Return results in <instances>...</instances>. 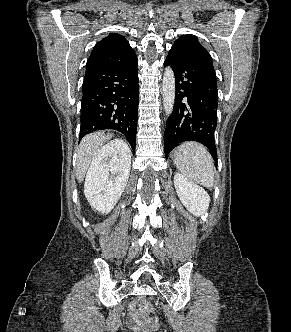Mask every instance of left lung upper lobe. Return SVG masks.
Segmentation results:
<instances>
[{
  "label": "left lung upper lobe",
  "instance_id": "obj_1",
  "mask_svg": "<svg viewBox=\"0 0 291 332\" xmlns=\"http://www.w3.org/2000/svg\"><path fill=\"white\" fill-rule=\"evenodd\" d=\"M172 48L183 53H203L209 55L208 51L199 43L195 35L181 36L175 41Z\"/></svg>",
  "mask_w": 291,
  "mask_h": 332
}]
</instances>
